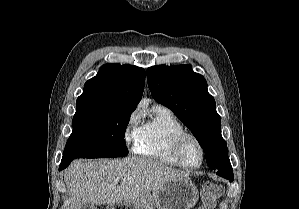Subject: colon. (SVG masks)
<instances>
[{
  "label": "colon",
  "mask_w": 299,
  "mask_h": 209,
  "mask_svg": "<svg viewBox=\"0 0 299 209\" xmlns=\"http://www.w3.org/2000/svg\"><path fill=\"white\" fill-rule=\"evenodd\" d=\"M202 189L204 195V207L202 209H211L224 194V186L218 183L206 182Z\"/></svg>",
  "instance_id": "5ec220e1"
}]
</instances>
